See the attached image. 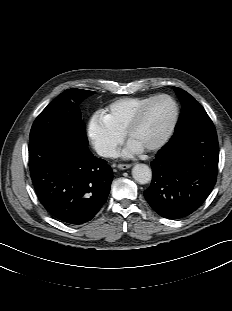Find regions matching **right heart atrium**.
Instances as JSON below:
<instances>
[{"label":"right heart atrium","mask_w":232,"mask_h":311,"mask_svg":"<svg viewBox=\"0 0 232 311\" xmlns=\"http://www.w3.org/2000/svg\"><path fill=\"white\" fill-rule=\"evenodd\" d=\"M87 136L95 151L106 158L115 155L118 145L123 140V136L113 130L105 117L98 112L92 115L88 122Z\"/></svg>","instance_id":"right-heart-atrium-1"}]
</instances>
